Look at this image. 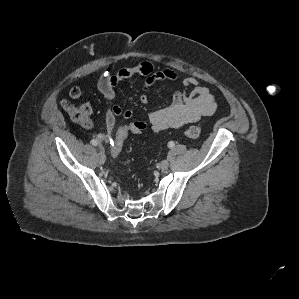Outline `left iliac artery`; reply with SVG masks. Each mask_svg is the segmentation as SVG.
I'll use <instances>...</instances> for the list:
<instances>
[{
  "mask_svg": "<svg viewBox=\"0 0 299 299\" xmlns=\"http://www.w3.org/2000/svg\"><path fill=\"white\" fill-rule=\"evenodd\" d=\"M174 145H175V144H174V142H173V141H170V142L168 143V147H169V148H173V147H174Z\"/></svg>",
  "mask_w": 299,
  "mask_h": 299,
  "instance_id": "44dca946",
  "label": "left iliac artery"
}]
</instances>
